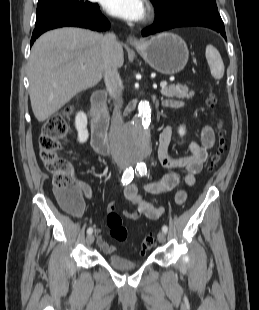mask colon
I'll use <instances>...</instances> for the list:
<instances>
[{
  "instance_id": "colon-1",
  "label": "colon",
  "mask_w": 259,
  "mask_h": 310,
  "mask_svg": "<svg viewBox=\"0 0 259 310\" xmlns=\"http://www.w3.org/2000/svg\"><path fill=\"white\" fill-rule=\"evenodd\" d=\"M207 104L210 109L216 107V97L209 94ZM73 108L69 107L63 115L50 118L43 126L39 138L40 158L49 173L53 176L54 193L63 208L71 213L78 214L83 206L82 189L77 185L70 161L59 154L61 140L68 133L67 119L72 115ZM226 131L223 123H218L216 151L212 155L207 167L212 172L227 150ZM107 226L113 239L123 242L127 239L128 231L121 216L115 211H109L106 219ZM156 243L153 234L147 235L142 241L143 251L151 249Z\"/></svg>"
}]
</instances>
